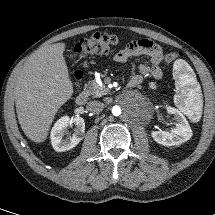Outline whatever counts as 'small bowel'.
I'll return each instance as SVG.
<instances>
[{
  "label": "small bowel",
  "mask_w": 215,
  "mask_h": 215,
  "mask_svg": "<svg viewBox=\"0 0 215 215\" xmlns=\"http://www.w3.org/2000/svg\"><path fill=\"white\" fill-rule=\"evenodd\" d=\"M147 56L150 64H141L138 73L130 79L134 87L141 84L144 75H151L155 79L162 77L161 62L163 59L162 49L159 45L149 39H140L130 42L123 50L110 55L118 63H125L132 57Z\"/></svg>",
  "instance_id": "obj_1"
}]
</instances>
